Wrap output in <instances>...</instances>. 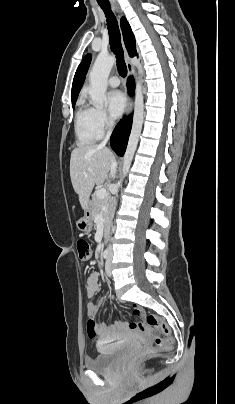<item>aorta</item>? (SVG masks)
I'll use <instances>...</instances> for the list:
<instances>
[{
  "mask_svg": "<svg viewBox=\"0 0 235 404\" xmlns=\"http://www.w3.org/2000/svg\"><path fill=\"white\" fill-rule=\"evenodd\" d=\"M116 62V58L113 55L100 53L95 63L89 73V95L91 99V103L95 107H103L106 102V89H107V80L110 74V71ZM144 120V98H143V90L142 84L140 80L136 81V89H135V102H134V116L132 129L129 136V141L127 145V149L123 158V178L126 177L129 172L131 162L133 160L139 137L142 130Z\"/></svg>",
  "mask_w": 235,
  "mask_h": 404,
  "instance_id": "aorta-1",
  "label": "aorta"
}]
</instances>
